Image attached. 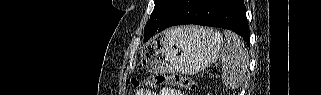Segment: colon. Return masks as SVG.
<instances>
[{
    "label": "colon",
    "mask_w": 321,
    "mask_h": 95,
    "mask_svg": "<svg viewBox=\"0 0 321 95\" xmlns=\"http://www.w3.org/2000/svg\"><path fill=\"white\" fill-rule=\"evenodd\" d=\"M131 83L134 86H145L150 88H156L164 84H168V85H172L180 88H187L190 90H195L197 88V84L194 80L180 74H172V75L159 74V75L150 76L143 80L134 77L131 79Z\"/></svg>",
    "instance_id": "colon-1"
}]
</instances>
